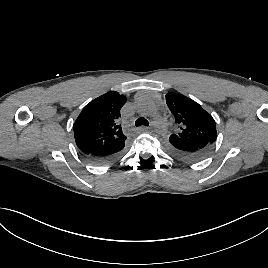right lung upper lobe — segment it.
Wrapping results in <instances>:
<instances>
[{
    "label": "right lung upper lobe",
    "mask_w": 268,
    "mask_h": 268,
    "mask_svg": "<svg viewBox=\"0 0 268 268\" xmlns=\"http://www.w3.org/2000/svg\"><path fill=\"white\" fill-rule=\"evenodd\" d=\"M126 97L110 91L92 100L74 123L78 148L87 154L106 152L125 145L126 136L118 124Z\"/></svg>",
    "instance_id": "obj_1"
}]
</instances>
